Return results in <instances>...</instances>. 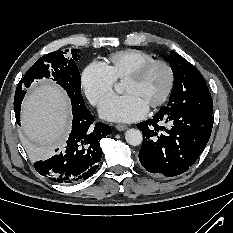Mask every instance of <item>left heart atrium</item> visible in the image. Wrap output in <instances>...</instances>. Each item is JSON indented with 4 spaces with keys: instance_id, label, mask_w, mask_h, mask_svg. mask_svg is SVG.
<instances>
[{
    "instance_id": "39dd6f15",
    "label": "left heart atrium",
    "mask_w": 233,
    "mask_h": 233,
    "mask_svg": "<svg viewBox=\"0 0 233 233\" xmlns=\"http://www.w3.org/2000/svg\"><path fill=\"white\" fill-rule=\"evenodd\" d=\"M148 107L135 95L126 93L113 96L103 102L100 113L102 117L112 121L131 122L141 119L147 113Z\"/></svg>"
}]
</instances>
